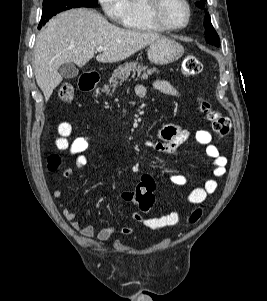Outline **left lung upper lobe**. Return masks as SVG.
I'll list each match as a JSON object with an SVG mask.
<instances>
[{"instance_id": "1", "label": "left lung upper lobe", "mask_w": 267, "mask_h": 301, "mask_svg": "<svg viewBox=\"0 0 267 301\" xmlns=\"http://www.w3.org/2000/svg\"><path fill=\"white\" fill-rule=\"evenodd\" d=\"M207 0H199L198 3L196 4L198 7L203 8L204 3ZM204 27H205V38L206 41L209 44L215 45L217 47L220 46V39L218 34L216 33L215 29L213 28L211 24V18L210 15L207 13L204 18Z\"/></svg>"}]
</instances>
